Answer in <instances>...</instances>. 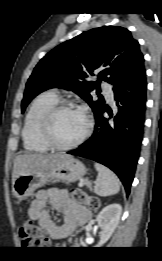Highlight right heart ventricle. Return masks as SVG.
Masks as SVG:
<instances>
[{"label":"right heart ventricle","instance_id":"e07e8e85","mask_svg":"<svg viewBox=\"0 0 162 261\" xmlns=\"http://www.w3.org/2000/svg\"><path fill=\"white\" fill-rule=\"evenodd\" d=\"M57 102L58 96L53 92L41 93L32 101L22 129V139L26 150L38 153L50 150L41 136L40 123L45 112Z\"/></svg>","mask_w":162,"mask_h":261}]
</instances>
